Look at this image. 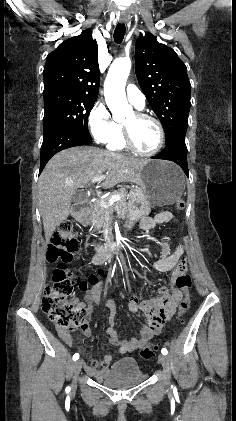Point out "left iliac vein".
Wrapping results in <instances>:
<instances>
[{
  "label": "left iliac vein",
  "instance_id": "left-iliac-vein-1",
  "mask_svg": "<svg viewBox=\"0 0 236 421\" xmlns=\"http://www.w3.org/2000/svg\"><path fill=\"white\" fill-rule=\"evenodd\" d=\"M158 360L163 365L166 375H168L169 359L163 354L158 355Z\"/></svg>",
  "mask_w": 236,
  "mask_h": 421
}]
</instances>
